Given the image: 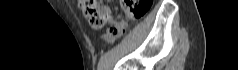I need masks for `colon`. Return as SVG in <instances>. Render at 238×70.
<instances>
[{
  "label": "colon",
  "mask_w": 238,
  "mask_h": 70,
  "mask_svg": "<svg viewBox=\"0 0 238 70\" xmlns=\"http://www.w3.org/2000/svg\"><path fill=\"white\" fill-rule=\"evenodd\" d=\"M79 7L90 25L94 28H102L107 20V15L98 6L96 0H79ZM152 0H122V9L130 20L141 18L150 8ZM119 29H111V33H118Z\"/></svg>",
  "instance_id": "obj_1"
}]
</instances>
